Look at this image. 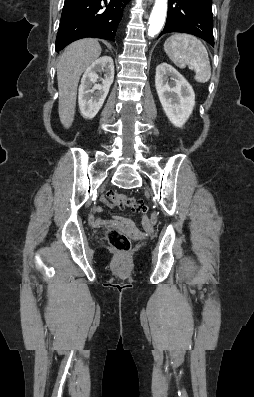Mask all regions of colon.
<instances>
[{
  "label": "colon",
  "instance_id": "obj_1",
  "mask_svg": "<svg viewBox=\"0 0 254 397\" xmlns=\"http://www.w3.org/2000/svg\"><path fill=\"white\" fill-rule=\"evenodd\" d=\"M112 203L119 208H129L138 212H146L147 206L144 202L119 192H112L109 195ZM107 240L110 246L118 253L125 254L131 249V240L122 231L112 228L107 232Z\"/></svg>",
  "mask_w": 254,
  "mask_h": 397
}]
</instances>
